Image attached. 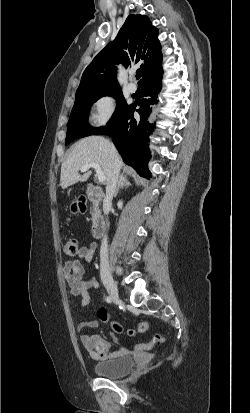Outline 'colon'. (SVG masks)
<instances>
[{
    "instance_id": "obj_1",
    "label": "colon",
    "mask_w": 250,
    "mask_h": 413,
    "mask_svg": "<svg viewBox=\"0 0 250 413\" xmlns=\"http://www.w3.org/2000/svg\"><path fill=\"white\" fill-rule=\"evenodd\" d=\"M86 210V205L83 201H74L70 206V211L73 214L84 213ZM79 243L76 239L70 238L66 241L64 245V252L69 256H75L79 253ZM99 318L104 323H109L113 330L117 333H126L129 336H134L136 334L144 335L146 329L149 328L150 323L148 320H141L135 324V329H124L123 326L115 321H112L105 309H100ZM164 342V338L160 335H155L151 342L149 341H139L133 343L132 353L148 352L149 349H154L156 344Z\"/></svg>"
}]
</instances>
